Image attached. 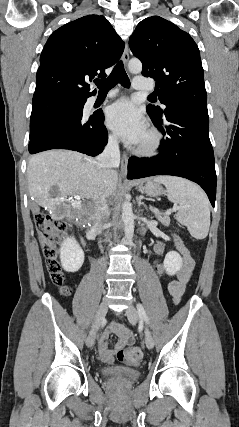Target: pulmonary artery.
Segmentation results:
<instances>
[{
  "label": "pulmonary artery",
  "instance_id": "pulmonary-artery-1",
  "mask_svg": "<svg viewBox=\"0 0 239 427\" xmlns=\"http://www.w3.org/2000/svg\"><path fill=\"white\" fill-rule=\"evenodd\" d=\"M133 88L139 91H153L154 85L151 82L147 81L144 77L136 76L134 78ZM115 95H116V91L113 90L107 94L106 98H111ZM96 100H97V97H92L89 102L94 103Z\"/></svg>",
  "mask_w": 239,
  "mask_h": 427
}]
</instances>
